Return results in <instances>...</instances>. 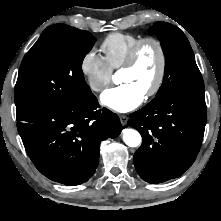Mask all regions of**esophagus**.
I'll list each match as a JSON object with an SVG mask.
<instances>
[{
    "label": "esophagus",
    "mask_w": 221,
    "mask_h": 221,
    "mask_svg": "<svg viewBox=\"0 0 221 221\" xmlns=\"http://www.w3.org/2000/svg\"><path fill=\"white\" fill-rule=\"evenodd\" d=\"M119 118H120L121 124L125 126L128 122V117L126 115H120Z\"/></svg>",
    "instance_id": "obj_1"
}]
</instances>
